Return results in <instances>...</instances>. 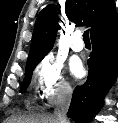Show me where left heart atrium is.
I'll list each match as a JSON object with an SVG mask.
<instances>
[{"label":"left heart atrium","mask_w":118,"mask_h":123,"mask_svg":"<svg viewBox=\"0 0 118 123\" xmlns=\"http://www.w3.org/2000/svg\"><path fill=\"white\" fill-rule=\"evenodd\" d=\"M70 72L73 76L79 78L83 75L84 69L81 62L74 60L70 63Z\"/></svg>","instance_id":"obj_1"}]
</instances>
